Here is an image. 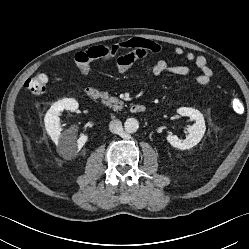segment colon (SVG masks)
<instances>
[{
  "label": "colon",
  "instance_id": "1",
  "mask_svg": "<svg viewBox=\"0 0 249 249\" xmlns=\"http://www.w3.org/2000/svg\"><path fill=\"white\" fill-rule=\"evenodd\" d=\"M118 52L117 47H112L101 54L93 53L92 57L101 56L103 58H110ZM48 78L44 73H38L31 77L26 82V88L33 94L39 95L45 92ZM230 107L235 114H241L244 111V103L238 97H233L230 100Z\"/></svg>",
  "mask_w": 249,
  "mask_h": 249
}]
</instances>
